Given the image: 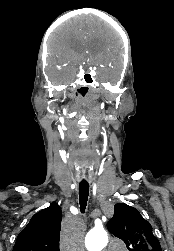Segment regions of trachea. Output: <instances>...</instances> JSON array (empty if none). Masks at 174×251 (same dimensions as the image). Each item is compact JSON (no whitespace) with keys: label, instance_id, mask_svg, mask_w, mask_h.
I'll list each match as a JSON object with an SVG mask.
<instances>
[{"label":"trachea","instance_id":"1","mask_svg":"<svg viewBox=\"0 0 174 251\" xmlns=\"http://www.w3.org/2000/svg\"><path fill=\"white\" fill-rule=\"evenodd\" d=\"M89 196V184L88 183H80L79 184V202H80V210L82 213L85 212L87 201Z\"/></svg>","mask_w":174,"mask_h":251}]
</instances>
